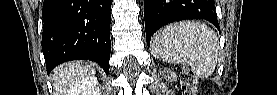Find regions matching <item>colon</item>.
I'll return each mask as SVG.
<instances>
[{
  "instance_id": "colon-1",
  "label": "colon",
  "mask_w": 277,
  "mask_h": 95,
  "mask_svg": "<svg viewBox=\"0 0 277 95\" xmlns=\"http://www.w3.org/2000/svg\"><path fill=\"white\" fill-rule=\"evenodd\" d=\"M180 82H181V86L184 94H187V95L196 94L197 79L195 74L190 68L184 67L181 70Z\"/></svg>"
}]
</instances>
